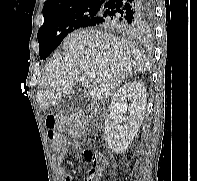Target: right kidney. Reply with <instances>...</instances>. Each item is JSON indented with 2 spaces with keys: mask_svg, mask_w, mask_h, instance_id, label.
Returning a JSON list of instances; mask_svg holds the SVG:
<instances>
[{
  "mask_svg": "<svg viewBox=\"0 0 197 181\" xmlns=\"http://www.w3.org/2000/svg\"><path fill=\"white\" fill-rule=\"evenodd\" d=\"M145 106L146 89L140 81L125 83L114 94L109 115L105 119V140L113 152L123 153L127 150L142 124ZM125 112L129 113L128 122L121 126L122 114Z\"/></svg>",
  "mask_w": 197,
  "mask_h": 181,
  "instance_id": "right-kidney-1",
  "label": "right kidney"
}]
</instances>
